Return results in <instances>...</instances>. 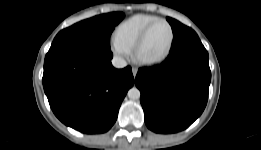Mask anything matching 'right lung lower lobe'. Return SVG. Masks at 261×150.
<instances>
[{
	"mask_svg": "<svg viewBox=\"0 0 261 150\" xmlns=\"http://www.w3.org/2000/svg\"><path fill=\"white\" fill-rule=\"evenodd\" d=\"M110 49L85 45L50 48L43 87L50 107L65 125L82 133L108 131L134 84L131 67L115 69Z\"/></svg>",
	"mask_w": 261,
	"mask_h": 150,
	"instance_id": "right-lung-lower-lobe-1",
	"label": "right lung lower lobe"
}]
</instances>
